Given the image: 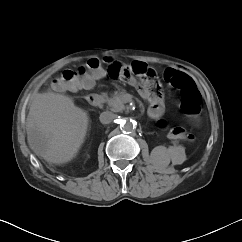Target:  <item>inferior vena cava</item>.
I'll list each match as a JSON object with an SVG mask.
<instances>
[{
    "mask_svg": "<svg viewBox=\"0 0 242 242\" xmlns=\"http://www.w3.org/2000/svg\"><path fill=\"white\" fill-rule=\"evenodd\" d=\"M116 118V115L110 111H105L100 114V122L102 124H109Z\"/></svg>",
    "mask_w": 242,
    "mask_h": 242,
    "instance_id": "602c4592",
    "label": "inferior vena cava"
}]
</instances>
